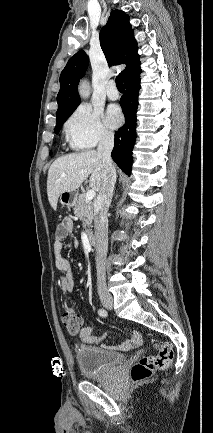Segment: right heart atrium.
Listing matches in <instances>:
<instances>
[{
    "mask_svg": "<svg viewBox=\"0 0 213 433\" xmlns=\"http://www.w3.org/2000/svg\"><path fill=\"white\" fill-rule=\"evenodd\" d=\"M64 132L75 149H89L113 139V132L105 125L100 111L89 105L78 106L64 124Z\"/></svg>",
    "mask_w": 213,
    "mask_h": 433,
    "instance_id": "1",
    "label": "right heart atrium"
}]
</instances>
